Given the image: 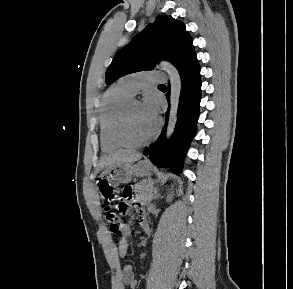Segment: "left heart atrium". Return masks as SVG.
Segmentation results:
<instances>
[{"label": "left heart atrium", "mask_w": 293, "mask_h": 289, "mask_svg": "<svg viewBox=\"0 0 293 289\" xmlns=\"http://www.w3.org/2000/svg\"><path fill=\"white\" fill-rule=\"evenodd\" d=\"M142 105H143V108H144L145 112L152 119H154V120L158 119L159 103H158L157 99L154 96H152V95L147 96Z\"/></svg>", "instance_id": "39dd6f15"}]
</instances>
